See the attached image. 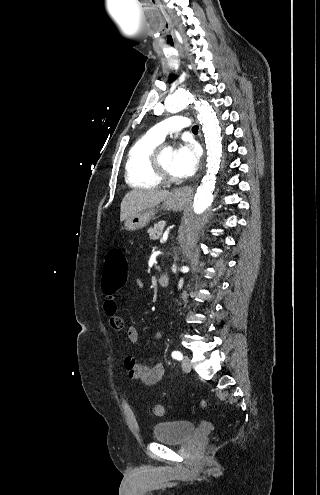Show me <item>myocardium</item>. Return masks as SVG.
Segmentation results:
<instances>
[{
    "instance_id": "myocardium-1",
    "label": "myocardium",
    "mask_w": 320,
    "mask_h": 495,
    "mask_svg": "<svg viewBox=\"0 0 320 495\" xmlns=\"http://www.w3.org/2000/svg\"><path fill=\"white\" fill-rule=\"evenodd\" d=\"M165 145H158L151 154V166L159 180L173 181L174 177L164 168L161 161V153Z\"/></svg>"
}]
</instances>
